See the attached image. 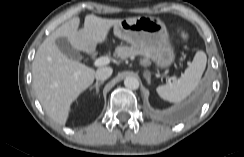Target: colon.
Here are the masks:
<instances>
[{
	"instance_id": "colon-1",
	"label": "colon",
	"mask_w": 244,
	"mask_h": 157,
	"mask_svg": "<svg viewBox=\"0 0 244 157\" xmlns=\"http://www.w3.org/2000/svg\"><path fill=\"white\" fill-rule=\"evenodd\" d=\"M181 36L184 38V39H187L188 38V34L185 32V31H181Z\"/></svg>"
}]
</instances>
